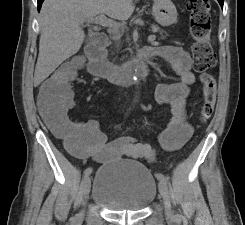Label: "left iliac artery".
<instances>
[{
  "instance_id": "left-iliac-artery-1",
  "label": "left iliac artery",
  "mask_w": 245,
  "mask_h": 225,
  "mask_svg": "<svg viewBox=\"0 0 245 225\" xmlns=\"http://www.w3.org/2000/svg\"><path fill=\"white\" fill-rule=\"evenodd\" d=\"M157 179L159 181H165V182H168V177L167 176H164L163 174H157L156 175Z\"/></svg>"
}]
</instances>
